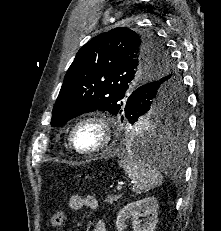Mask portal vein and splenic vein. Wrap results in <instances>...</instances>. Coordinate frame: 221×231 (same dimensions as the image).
Returning <instances> with one entry per match:
<instances>
[{"label":"portal vein and splenic vein","mask_w":221,"mask_h":231,"mask_svg":"<svg viewBox=\"0 0 221 231\" xmlns=\"http://www.w3.org/2000/svg\"><path fill=\"white\" fill-rule=\"evenodd\" d=\"M121 189H122V185L119 184V185L117 186V190L119 191V190H121Z\"/></svg>","instance_id":"1"}]
</instances>
